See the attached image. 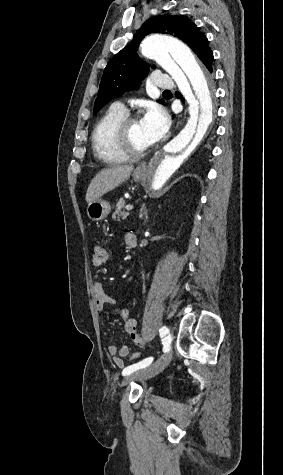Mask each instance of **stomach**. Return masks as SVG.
I'll use <instances>...</instances> for the list:
<instances>
[{"label":"stomach","mask_w":283,"mask_h":475,"mask_svg":"<svg viewBox=\"0 0 283 475\" xmlns=\"http://www.w3.org/2000/svg\"><path fill=\"white\" fill-rule=\"evenodd\" d=\"M148 170L146 166H138L134 170L132 176L134 182H146ZM111 206L106 202V200H95V202H89L87 206V216L93 222H99V220H104L108 214H110Z\"/></svg>","instance_id":"obj_1"}]
</instances>
